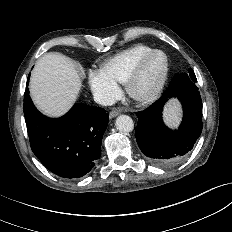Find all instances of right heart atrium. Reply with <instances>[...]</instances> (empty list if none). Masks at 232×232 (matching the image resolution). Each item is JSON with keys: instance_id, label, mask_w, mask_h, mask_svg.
<instances>
[{"instance_id": "right-heart-atrium-1", "label": "right heart atrium", "mask_w": 232, "mask_h": 232, "mask_svg": "<svg viewBox=\"0 0 232 232\" xmlns=\"http://www.w3.org/2000/svg\"><path fill=\"white\" fill-rule=\"evenodd\" d=\"M89 86L96 99L103 104L114 100L119 94L118 84L102 70H91L88 73Z\"/></svg>"}]
</instances>
